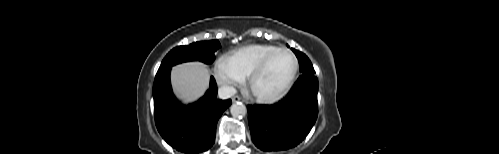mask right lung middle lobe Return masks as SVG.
<instances>
[{"mask_svg": "<svg viewBox=\"0 0 499 154\" xmlns=\"http://www.w3.org/2000/svg\"><path fill=\"white\" fill-rule=\"evenodd\" d=\"M218 48H220V43L217 40L195 42L187 46H178L166 55L158 72L187 61L198 60L210 64L214 61V52Z\"/></svg>", "mask_w": 499, "mask_h": 154, "instance_id": "dd1d6c3e", "label": "right lung middle lobe"}]
</instances>
